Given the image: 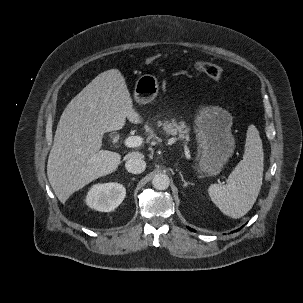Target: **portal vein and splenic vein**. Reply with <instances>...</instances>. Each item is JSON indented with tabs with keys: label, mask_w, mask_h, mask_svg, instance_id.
<instances>
[{
	"label": "portal vein and splenic vein",
	"mask_w": 303,
	"mask_h": 303,
	"mask_svg": "<svg viewBox=\"0 0 303 303\" xmlns=\"http://www.w3.org/2000/svg\"><path fill=\"white\" fill-rule=\"evenodd\" d=\"M143 143V139L139 136H130L124 140L125 146L129 148L139 147Z\"/></svg>",
	"instance_id": "1"
}]
</instances>
